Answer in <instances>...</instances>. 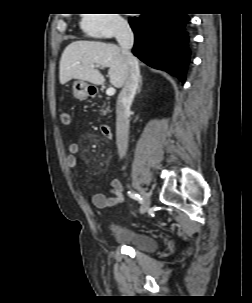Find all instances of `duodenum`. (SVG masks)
Instances as JSON below:
<instances>
[{
	"instance_id": "duodenum-1",
	"label": "duodenum",
	"mask_w": 252,
	"mask_h": 303,
	"mask_svg": "<svg viewBox=\"0 0 252 303\" xmlns=\"http://www.w3.org/2000/svg\"><path fill=\"white\" fill-rule=\"evenodd\" d=\"M100 129H101V132H102L103 136L106 139H111L112 138V132H111V128H110L109 125H107V124H101L100 125Z\"/></svg>"
}]
</instances>
